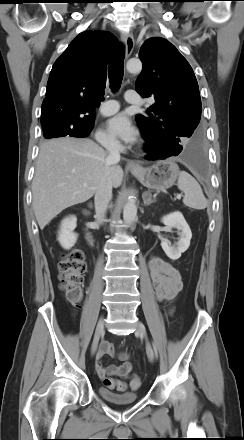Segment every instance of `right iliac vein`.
I'll use <instances>...</instances> for the list:
<instances>
[{
	"instance_id": "obj_1",
	"label": "right iliac vein",
	"mask_w": 244,
	"mask_h": 440,
	"mask_svg": "<svg viewBox=\"0 0 244 440\" xmlns=\"http://www.w3.org/2000/svg\"><path fill=\"white\" fill-rule=\"evenodd\" d=\"M103 329H104V319L101 318L98 321V323H97L94 339H93V342H92V347H91V354L92 355H94L96 353V351H97L99 339H100V336H101V334L103 332Z\"/></svg>"
}]
</instances>
